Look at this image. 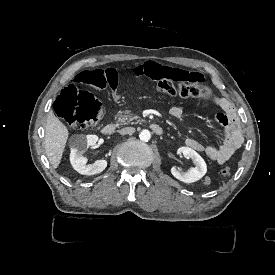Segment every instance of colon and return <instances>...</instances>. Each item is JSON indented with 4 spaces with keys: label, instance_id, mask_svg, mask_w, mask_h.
I'll return each mask as SVG.
<instances>
[{
    "label": "colon",
    "instance_id": "5ec220e1",
    "mask_svg": "<svg viewBox=\"0 0 275 275\" xmlns=\"http://www.w3.org/2000/svg\"><path fill=\"white\" fill-rule=\"evenodd\" d=\"M106 84L103 72H93L92 68H77L74 86L65 87L54 100L55 114L73 129L84 130L95 126L102 116V103L90 92H107ZM79 88H85L88 92ZM156 89L163 97L196 98L209 102L215 99L213 90L203 84L192 85L189 82L162 79ZM230 174L229 167L220 170L223 177H229Z\"/></svg>",
    "mask_w": 275,
    "mask_h": 275
}]
</instances>
